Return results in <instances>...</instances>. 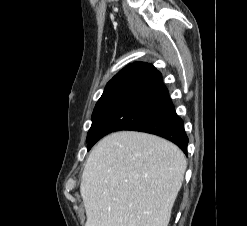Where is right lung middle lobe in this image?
<instances>
[{"mask_svg":"<svg viewBox=\"0 0 247 226\" xmlns=\"http://www.w3.org/2000/svg\"><path fill=\"white\" fill-rule=\"evenodd\" d=\"M119 74L120 72L115 75L107 84L101 98L98 100L95 108H94V111H93V114H92V126L88 132V135H87V140L90 139L92 133H93V129L95 127V125L97 124V122L99 121L100 117H101V114L106 106V103H107V100L114 88V86L116 85L117 83V80H118V77H119Z\"/></svg>","mask_w":247,"mask_h":226,"instance_id":"obj_1","label":"right lung middle lobe"}]
</instances>
